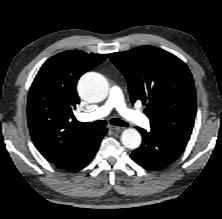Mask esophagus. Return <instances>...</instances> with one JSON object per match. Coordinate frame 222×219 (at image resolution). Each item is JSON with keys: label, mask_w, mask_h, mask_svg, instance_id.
Returning a JSON list of instances; mask_svg holds the SVG:
<instances>
[{"label": "esophagus", "mask_w": 222, "mask_h": 219, "mask_svg": "<svg viewBox=\"0 0 222 219\" xmlns=\"http://www.w3.org/2000/svg\"><path fill=\"white\" fill-rule=\"evenodd\" d=\"M110 129L116 132H120L124 129V127L111 126Z\"/></svg>", "instance_id": "1"}]
</instances>
